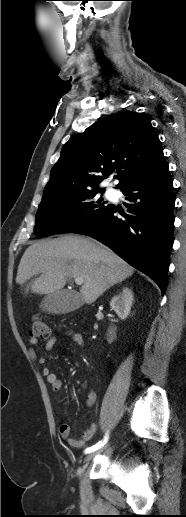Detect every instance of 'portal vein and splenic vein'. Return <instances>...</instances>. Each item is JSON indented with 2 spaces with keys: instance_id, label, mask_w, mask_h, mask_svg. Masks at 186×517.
Listing matches in <instances>:
<instances>
[{
  "instance_id": "18ae733b",
  "label": "portal vein and splenic vein",
  "mask_w": 186,
  "mask_h": 517,
  "mask_svg": "<svg viewBox=\"0 0 186 517\" xmlns=\"http://www.w3.org/2000/svg\"><path fill=\"white\" fill-rule=\"evenodd\" d=\"M83 282H84V280H83V278H82V277H77V278H75V283H76L77 285H82V284H83Z\"/></svg>"
}]
</instances>
